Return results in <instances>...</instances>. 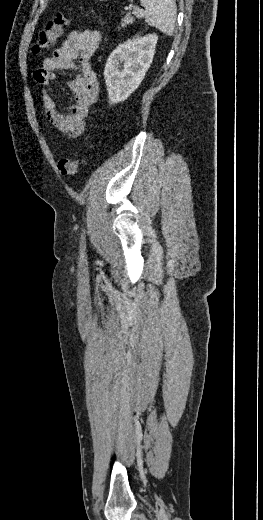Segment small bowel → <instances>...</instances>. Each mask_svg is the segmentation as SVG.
I'll return each mask as SVG.
<instances>
[{
    "label": "small bowel",
    "mask_w": 263,
    "mask_h": 520,
    "mask_svg": "<svg viewBox=\"0 0 263 520\" xmlns=\"http://www.w3.org/2000/svg\"><path fill=\"white\" fill-rule=\"evenodd\" d=\"M99 30L84 29L69 33L61 46L44 59L40 68L34 71V80L41 86V101L45 119L69 138L79 137L85 130V119L91 106L97 101L99 82L91 69L89 59L96 53L101 43ZM79 60V63H77ZM68 70L75 74L69 81L74 95V103L67 113L57 110L50 93L56 71Z\"/></svg>",
    "instance_id": "small-bowel-1"
}]
</instances>
